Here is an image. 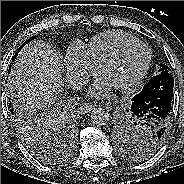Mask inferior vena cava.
Segmentation results:
<instances>
[{
	"mask_svg": "<svg viewBox=\"0 0 184 184\" xmlns=\"http://www.w3.org/2000/svg\"><path fill=\"white\" fill-rule=\"evenodd\" d=\"M69 84L73 89H81L88 83V78L85 76H73L69 78Z\"/></svg>",
	"mask_w": 184,
	"mask_h": 184,
	"instance_id": "inferior-vena-cava-1",
	"label": "inferior vena cava"
}]
</instances>
